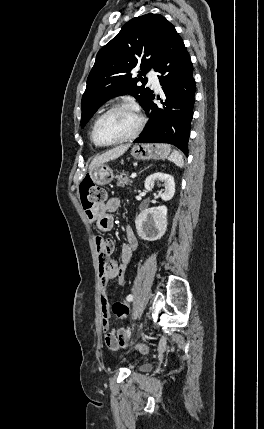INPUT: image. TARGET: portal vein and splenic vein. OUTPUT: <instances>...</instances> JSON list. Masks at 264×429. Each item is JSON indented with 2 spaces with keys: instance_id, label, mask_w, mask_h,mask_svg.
<instances>
[{
  "instance_id": "portal-vein-and-splenic-vein-1",
  "label": "portal vein and splenic vein",
  "mask_w": 264,
  "mask_h": 429,
  "mask_svg": "<svg viewBox=\"0 0 264 429\" xmlns=\"http://www.w3.org/2000/svg\"><path fill=\"white\" fill-rule=\"evenodd\" d=\"M136 177V173L135 172H133L132 174H131V178H135Z\"/></svg>"
}]
</instances>
